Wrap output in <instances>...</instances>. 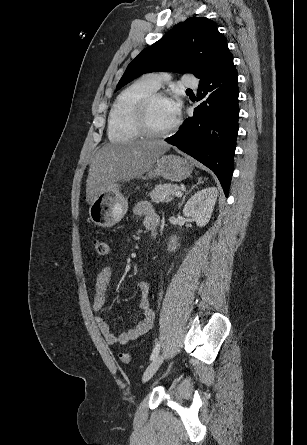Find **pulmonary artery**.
<instances>
[{
  "mask_svg": "<svg viewBox=\"0 0 307 445\" xmlns=\"http://www.w3.org/2000/svg\"><path fill=\"white\" fill-rule=\"evenodd\" d=\"M168 75H169L168 71H153L152 73L148 74V77L149 78H152L153 76H159V77L155 79H149L147 82L151 87L156 89L160 86L161 81L163 80L162 76H168ZM177 88L178 90H198L199 82L194 81L192 75H181L177 83Z\"/></svg>",
  "mask_w": 307,
  "mask_h": 445,
  "instance_id": "1",
  "label": "pulmonary artery"
}]
</instances>
